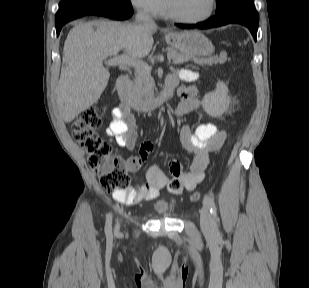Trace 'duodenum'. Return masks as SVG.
Here are the masks:
<instances>
[{
  "label": "duodenum",
  "mask_w": 309,
  "mask_h": 288,
  "mask_svg": "<svg viewBox=\"0 0 309 288\" xmlns=\"http://www.w3.org/2000/svg\"><path fill=\"white\" fill-rule=\"evenodd\" d=\"M116 89L120 101L124 106L135 107L140 111H151L157 109L170 99L174 87L165 84L159 95L138 101L130 89L129 78L126 75H120L116 81Z\"/></svg>",
  "instance_id": "obj_1"
}]
</instances>
